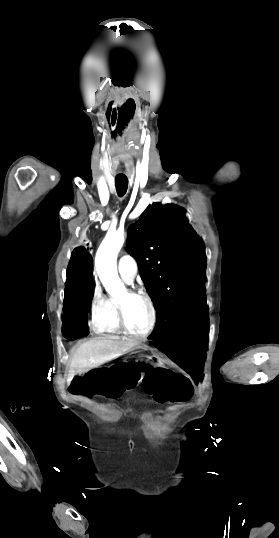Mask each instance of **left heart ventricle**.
Wrapping results in <instances>:
<instances>
[{
  "label": "left heart ventricle",
  "instance_id": "obj_1",
  "mask_svg": "<svg viewBox=\"0 0 279 538\" xmlns=\"http://www.w3.org/2000/svg\"><path fill=\"white\" fill-rule=\"evenodd\" d=\"M100 218V216H98ZM119 297L127 298L125 291ZM126 320L129 328L137 333L144 332L150 323V308L141 298H128L126 301Z\"/></svg>",
  "mask_w": 279,
  "mask_h": 538
}]
</instances>
